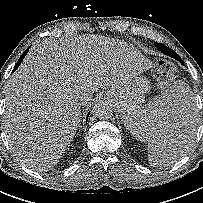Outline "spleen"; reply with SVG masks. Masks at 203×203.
Wrapping results in <instances>:
<instances>
[{"instance_id": "1", "label": "spleen", "mask_w": 203, "mask_h": 203, "mask_svg": "<svg viewBox=\"0 0 203 203\" xmlns=\"http://www.w3.org/2000/svg\"><path fill=\"white\" fill-rule=\"evenodd\" d=\"M166 114H172L184 121L189 132L183 139L160 141L156 135L158 127ZM196 108L191 88L184 82L175 83L170 89L136 110L129 118L131 134L142 142H148V160L150 165L165 167L177 162L192 147L196 131Z\"/></svg>"}]
</instances>
